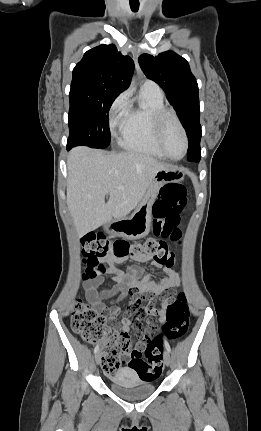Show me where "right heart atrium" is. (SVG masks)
Returning a JSON list of instances; mask_svg holds the SVG:
<instances>
[{
	"label": "right heart atrium",
	"instance_id": "d8ad5b80",
	"mask_svg": "<svg viewBox=\"0 0 261 431\" xmlns=\"http://www.w3.org/2000/svg\"><path fill=\"white\" fill-rule=\"evenodd\" d=\"M130 96L127 91L122 92L111 104L109 109V125L114 133L121 130L130 111Z\"/></svg>",
	"mask_w": 261,
	"mask_h": 431
}]
</instances>
